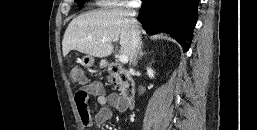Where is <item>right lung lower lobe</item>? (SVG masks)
<instances>
[{
  "label": "right lung lower lobe",
  "instance_id": "obj_1",
  "mask_svg": "<svg viewBox=\"0 0 257 130\" xmlns=\"http://www.w3.org/2000/svg\"><path fill=\"white\" fill-rule=\"evenodd\" d=\"M138 21L149 34L168 33L185 51L197 22L199 0H142Z\"/></svg>",
  "mask_w": 257,
  "mask_h": 130
}]
</instances>
